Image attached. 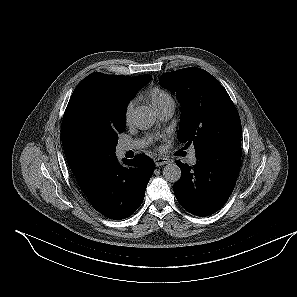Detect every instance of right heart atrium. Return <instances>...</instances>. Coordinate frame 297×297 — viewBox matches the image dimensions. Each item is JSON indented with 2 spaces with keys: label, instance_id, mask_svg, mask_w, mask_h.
Segmentation results:
<instances>
[{
  "label": "right heart atrium",
  "instance_id": "d8ad5b80",
  "mask_svg": "<svg viewBox=\"0 0 297 297\" xmlns=\"http://www.w3.org/2000/svg\"><path fill=\"white\" fill-rule=\"evenodd\" d=\"M133 106H134V102L131 101L128 103L127 107H126V110H125V118L127 121L130 120L131 118V114H132V110H133Z\"/></svg>",
  "mask_w": 297,
  "mask_h": 297
}]
</instances>
